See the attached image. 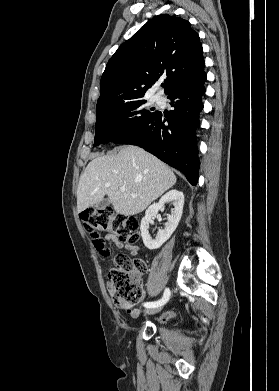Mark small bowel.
Returning <instances> with one entry per match:
<instances>
[{"label":"small bowel","instance_id":"1","mask_svg":"<svg viewBox=\"0 0 279 391\" xmlns=\"http://www.w3.org/2000/svg\"><path fill=\"white\" fill-rule=\"evenodd\" d=\"M106 240L108 241H113L115 243V245L119 248H123L124 245L120 242H117L116 240L113 239V237L111 235H107L105 237ZM125 248L128 250V252L132 255V256H135L138 254V251H139V248L135 245H128V246H125ZM140 312L141 310L139 308H135V309H132L129 311L130 315L133 317V318H137L139 315H140ZM174 316V312L172 311H167L165 312L161 319L162 320H168L170 318H172Z\"/></svg>","mask_w":279,"mask_h":391}]
</instances>
